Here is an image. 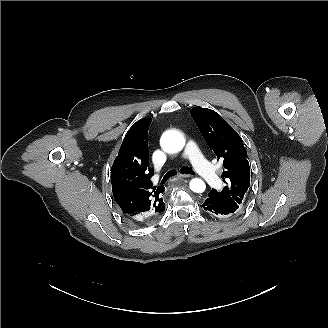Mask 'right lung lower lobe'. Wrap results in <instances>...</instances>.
<instances>
[{
    "instance_id": "98d812e1",
    "label": "right lung lower lobe",
    "mask_w": 328,
    "mask_h": 328,
    "mask_svg": "<svg viewBox=\"0 0 328 328\" xmlns=\"http://www.w3.org/2000/svg\"><path fill=\"white\" fill-rule=\"evenodd\" d=\"M123 215H124V214H123ZM124 217H125L127 220H129L130 222L134 223V221L131 220V219H129V218L127 217V215H124ZM134 224H135V223H134Z\"/></svg>"
}]
</instances>
